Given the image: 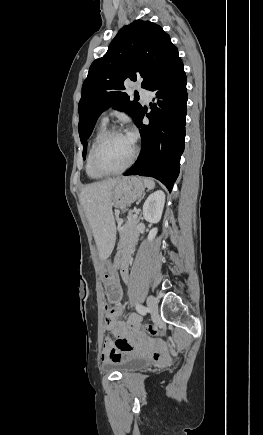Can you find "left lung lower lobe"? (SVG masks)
I'll list each match as a JSON object with an SVG mask.
<instances>
[{"label": "left lung lower lobe", "instance_id": "left-lung-lower-lobe-1", "mask_svg": "<svg viewBox=\"0 0 263 435\" xmlns=\"http://www.w3.org/2000/svg\"><path fill=\"white\" fill-rule=\"evenodd\" d=\"M186 74L179 58L167 74L150 91H157L159 99L147 114L149 125H144V111L137 121L143 147L135 165L124 173L150 176L160 180L169 191L180 171V157L184 151L186 124Z\"/></svg>", "mask_w": 263, "mask_h": 435}]
</instances>
